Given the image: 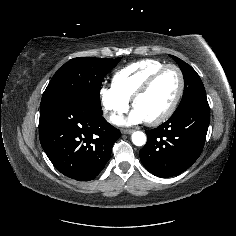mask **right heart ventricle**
Returning a JSON list of instances; mask_svg holds the SVG:
<instances>
[{"label": "right heart ventricle", "mask_w": 236, "mask_h": 236, "mask_svg": "<svg viewBox=\"0 0 236 236\" xmlns=\"http://www.w3.org/2000/svg\"><path fill=\"white\" fill-rule=\"evenodd\" d=\"M163 66L165 63L154 59L129 64L114 74L113 86L120 94L130 100L143 83Z\"/></svg>", "instance_id": "right-heart-ventricle-1"}]
</instances>
